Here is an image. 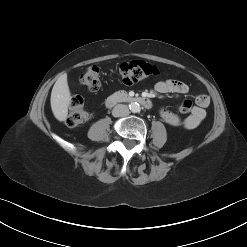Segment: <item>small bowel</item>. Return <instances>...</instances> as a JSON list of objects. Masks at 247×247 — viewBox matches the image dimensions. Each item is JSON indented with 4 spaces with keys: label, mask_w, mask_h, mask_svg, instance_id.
<instances>
[{
    "label": "small bowel",
    "mask_w": 247,
    "mask_h": 247,
    "mask_svg": "<svg viewBox=\"0 0 247 247\" xmlns=\"http://www.w3.org/2000/svg\"><path fill=\"white\" fill-rule=\"evenodd\" d=\"M155 91L161 94H186L189 91V86L182 81L168 79L157 82L155 85ZM195 103L196 106L191 109L189 115L184 119L165 108H162L159 113L161 118L171 126H181L186 129H194L205 119V109L210 105V98L208 95L201 94L196 97Z\"/></svg>",
    "instance_id": "small-bowel-1"
}]
</instances>
